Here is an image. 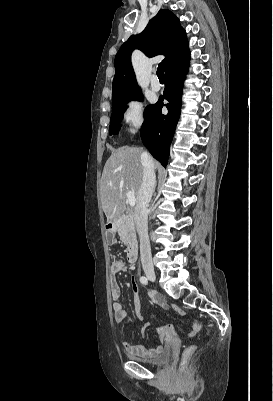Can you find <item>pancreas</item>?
I'll use <instances>...</instances> for the list:
<instances>
[{
	"label": "pancreas",
	"mask_w": 273,
	"mask_h": 401,
	"mask_svg": "<svg viewBox=\"0 0 273 401\" xmlns=\"http://www.w3.org/2000/svg\"><path fill=\"white\" fill-rule=\"evenodd\" d=\"M117 231H118V235L120 237V241H123V243H126L127 237L129 235L127 225H124V223H117Z\"/></svg>",
	"instance_id": "cf45deb5"
}]
</instances>
